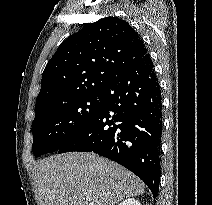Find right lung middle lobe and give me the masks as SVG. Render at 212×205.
Returning a JSON list of instances; mask_svg holds the SVG:
<instances>
[{
  "label": "right lung middle lobe",
  "instance_id": "right-lung-middle-lobe-1",
  "mask_svg": "<svg viewBox=\"0 0 212 205\" xmlns=\"http://www.w3.org/2000/svg\"><path fill=\"white\" fill-rule=\"evenodd\" d=\"M101 92L76 98L36 116L32 123L35 157L59 150L98 111Z\"/></svg>",
  "mask_w": 212,
  "mask_h": 205
}]
</instances>
